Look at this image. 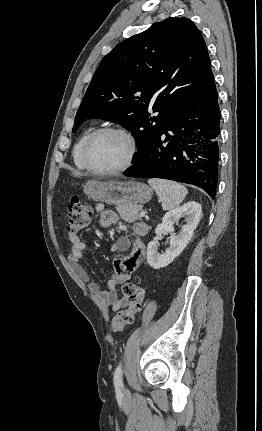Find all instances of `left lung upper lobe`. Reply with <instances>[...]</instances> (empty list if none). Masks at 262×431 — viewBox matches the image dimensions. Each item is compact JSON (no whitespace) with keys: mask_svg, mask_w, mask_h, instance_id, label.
Instances as JSON below:
<instances>
[{"mask_svg":"<svg viewBox=\"0 0 262 431\" xmlns=\"http://www.w3.org/2000/svg\"><path fill=\"white\" fill-rule=\"evenodd\" d=\"M213 82L201 32L188 18H168L121 42L102 59L73 131L94 117L119 123L135 137V162ZM148 109L159 114L150 117Z\"/></svg>","mask_w":262,"mask_h":431,"instance_id":"5c2ea615","label":"left lung upper lobe"}]
</instances>
